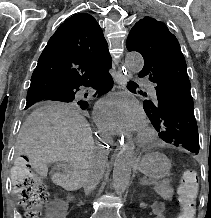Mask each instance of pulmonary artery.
Returning <instances> with one entry per match:
<instances>
[{
	"mask_svg": "<svg viewBox=\"0 0 211 218\" xmlns=\"http://www.w3.org/2000/svg\"><path fill=\"white\" fill-rule=\"evenodd\" d=\"M135 84L143 85L144 91H146V95H159V90H157L156 84H149V80H143V75H135Z\"/></svg>",
	"mask_w": 211,
	"mask_h": 218,
	"instance_id": "obj_1",
	"label": "pulmonary artery"
}]
</instances>
